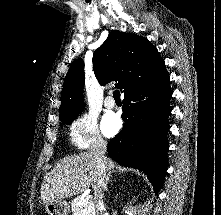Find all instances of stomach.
Segmentation results:
<instances>
[{"mask_svg": "<svg viewBox=\"0 0 221 215\" xmlns=\"http://www.w3.org/2000/svg\"><path fill=\"white\" fill-rule=\"evenodd\" d=\"M45 209L49 215H68L69 205L65 200H54L45 204Z\"/></svg>", "mask_w": 221, "mask_h": 215, "instance_id": "obj_1", "label": "stomach"}]
</instances>
